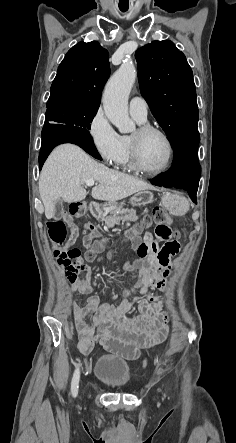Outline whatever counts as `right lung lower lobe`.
<instances>
[{"instance_id": "obj_1", "label": "right lung lower lobe", "mask_w": 236, "mask_h": 443, "mask_svg": "<svg viewBox=\"0 0 236 443\" xmlns=\"http://www.w3.org/2000/svg\"><path fill=\"white\" fill-rule=\"evenodd\" d=\"M69 127L70 126L62 124H50L47 127H43L42 144L39 155L40 170L52 149L62 143H74L93 157L102 160L92 142L91 137L78 134L70 130Z\"/></svg>"}]
</instances>
